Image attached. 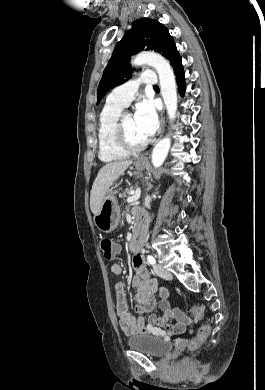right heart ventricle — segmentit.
Segmentation results:
<instances>
[{"instance_id":"obj_1","label":"right heart ventricle","mask_w":265,"mask_h":390,"mask_svg":"<svg viewBox=\"0 0 265 390\" xmlns=\"http://www.w3.org/2000/svg\"><path fill=\"white\" fill-rule=\"evenodd\" d=\"M123 107L106 103L99 116L98 125V155L103 162L121 161L128 156V153L122 150L115 138V128Z\"/></svg>"}]
</instances>
